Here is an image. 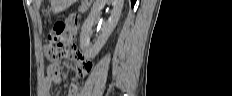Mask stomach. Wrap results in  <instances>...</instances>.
Instances as JSON below:
<instances>
[{
    "label": "stomach",
    "mask_w": 232,
    "mask_h": 96,
    "mask_svg": "<svg viewBox=\"0 0 232 96\" xmlns=\"http://www.w3.org/2000/svg\"><path fill=\"white\" fill-rule=\"evenodd\" d=\"M72 0H52L51 10L53 13L57 14L69 7Z\"/></svg>",
    "instance_id": "0dacf381"
}]
</instances>
